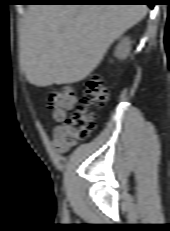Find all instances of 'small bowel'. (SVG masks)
Returning <instances> with one entry per match:
<instances>
[{
	"label": "small bowel",
	"instance_id": "obj_1",
	"mask_svg": "<svg viewBox=\"0 0 170 231\" xmlns=\"http://www.w3.org/2000/svg\"><path fill=\"white\" fill-rule=\"evenodd\" d=\"M51 143L53 148L60 154L66 153L69 150L70 145L64 139L62 126L53 128Z\"/></svg>",
	"mask_w": 170,
	"mask_h": 231
}]
</instances>
